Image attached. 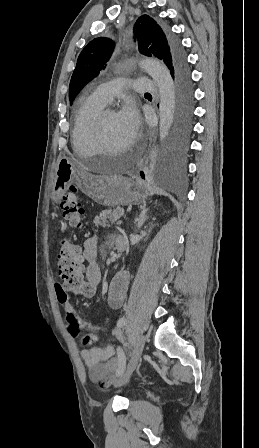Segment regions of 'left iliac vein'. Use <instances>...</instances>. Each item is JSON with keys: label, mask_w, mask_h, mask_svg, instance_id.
<instances>
[{"label": "left iliac vein", "mask_w": 259, "mask_h": 448, "mask_svg": "<svg viewBox=\"0 0 259 448\" xmlns=\"http://www.w3.org/2000/svg\"><path fill=\"white\" fill-rule=\"evenodd\" d=\"M146 342V337L143 335H139L136 338L135 341V345H134V350H133V355L131 357V360L128 364L127 370L125 372L124 375H122L118 381L116 382V386H121L124 385L130 378L132 372L134 371V369L136 368L138 361L142 355L143 349H144V345Z\"/></svg>", "instance_id": "1"}]
</instances>
